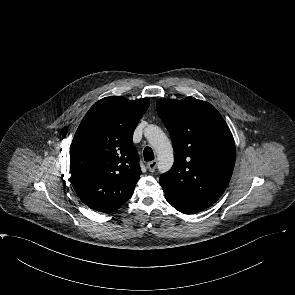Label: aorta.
Segmentation results:
<instances>
[{
	"instance_id": "obj_1",
	"label": "aorta",
	"mask_w": 295,
	"mask_h": 295,
	"mask_svg": "<svg viewBox=\"0 0 295 295\" xmlns=\"http://www.w3.org/2000/svg\"><path fill=\"white\" fill-rule=\"evenodd\" d=\"M144 135L157 153L159 171L162 173L167 172L174 162L170 140L160 127L153 124L145 128Z\"/></svg>"
}]
</instances>
